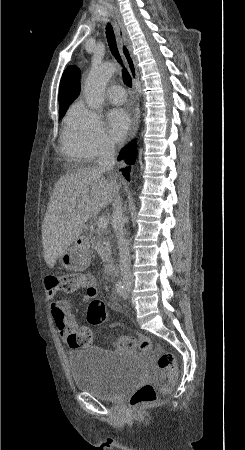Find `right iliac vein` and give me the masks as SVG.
Wrapping results in <instances>:
<instances>
[{
    "label": "right iliac vein",
    "instance_id": "1",
    "mask_svg": "<svg viewBox=\"0 0 245 450\" xmlns=\"http://www.w3.org/2000/svg\"><path fill=\"white\" fill-rule=\"evenodd\" d=\"M127 289L130 290V287L128 286Z\"/></svg>",
    "mask_w": 245,
    "mask_h": 450
}]
</instances>
